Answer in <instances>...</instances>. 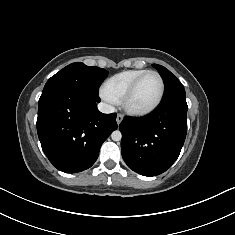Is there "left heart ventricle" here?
<instances>
[{
  "label": "left heart ventricle",
  "mask_w": 235,
  "mask_h": 235,
  "mask_svg": "<svg viewBox=\"0 0 235 235\" xmlns=\"http://www.w3.org/2000/svg\"><path fill=\"white\" fill-rule=\"evenodd\" d=\"M160 82L156 75L145 76L138 84L134 94L129 100L130 106L138 109L151 106L158 98Z\"/></svg>",
  "instance_id": "left-heart-ventricle-1"
}]
</instances>
